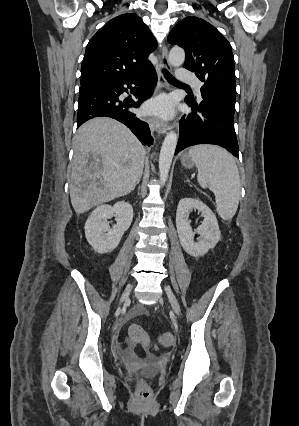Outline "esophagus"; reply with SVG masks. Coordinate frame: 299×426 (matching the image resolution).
Masks as SVG:
<instances>
[{"instance_id": "1", "label": "esophagus", "mask_w": 299, "mask_h": 426, "mask_svg": "<svg viewBox=\"0 0 299 426\" xmlns=\"http://www.w3.org/2000/svg\"><path fill=\"white\" fill-rule=\"evenodd\" d=\"M167 69L170 70L171 69V64L168 60V49L167 46L164 45L162 47L161 50V58H160V64H159V69H158V88L162 89V88H167L168 83L164 77L163 74V70ZM152 126L154 127V129L158 132V133H165L169 128V124L158 119V118H153L151 120Z\"/></svg>"}]
</instances>
